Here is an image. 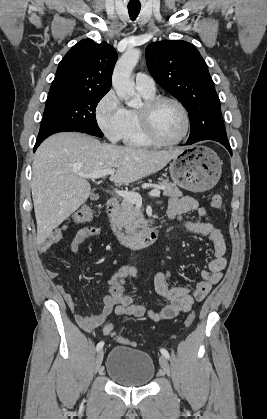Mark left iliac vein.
<instances>
[{
    "instance_id": "left-iliac-vein-1",
    "label": "left iliac vein",
    "mask_w": 267,
    "mask_h": 419,
    "mask_svg": "<svg viewBox=\"0 0 267 419\" xmlns=\"http://www.w3.org/2000/svg\"><path fill=\"white\" fill-rule=\"evenodd\" d=\"M159 362H160V365H161L162 369L164 370V372H165L168 376H170V373H171V371H170V366H169V363H168V361H167L166 357L161 356V357L159 358Z\"/></svg>"
}]
</instances>
